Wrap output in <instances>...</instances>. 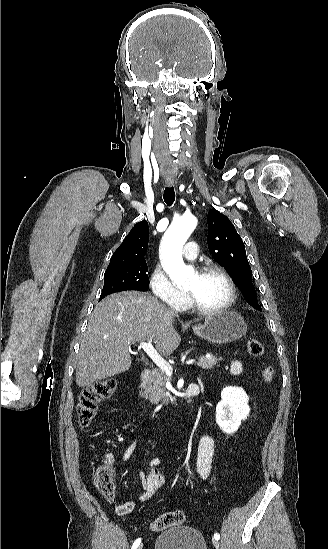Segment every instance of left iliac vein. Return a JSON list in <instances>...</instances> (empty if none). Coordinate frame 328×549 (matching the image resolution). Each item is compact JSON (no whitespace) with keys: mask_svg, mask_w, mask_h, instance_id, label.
Here are the masks:
<instances>
[{"mask_svg":"<svg viewBox=\"0 0 328 549\" xmlns=\"http://www.w3.org/2000/svg\"><path fill=\"white\" fill-rule=\"evenodd\" d=\"M212 544H213V546H214L216 549H218V547H219V541H218L217 539H213V540H212Z\"/></svg>","mask_w":328,"mask_h":549,"instance_id":"4c4485c4","label":"left iliac vein"}]
</instances>
